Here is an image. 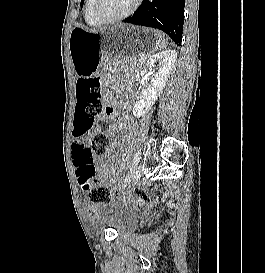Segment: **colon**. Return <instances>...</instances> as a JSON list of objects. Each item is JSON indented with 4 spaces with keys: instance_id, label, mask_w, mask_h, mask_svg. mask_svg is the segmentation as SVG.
I'll use <instances>...</instances> for the list:
<instances>
[{
    "instance_id": "1",
    "label": "colon",
    "mask_w": 265,
    "mask_h": 273,
    "mask_svg": "<svg viewBox=\"0 0 265 273\" xmlns=\"http://www.w3.org/2000/svg\"><path fill=\"white\" fill-rule=\"evenodd\" d=\"M77 105L72 116L74 139H85V134L93 128L84 150L85 159L103 155L109 146V138L105 134L108 127L109 109L103 104L101 83L98 79L81 77L76 86ZM96 171L93 168L82 170L79 176V186L88 194L92 204H107L111 201V188L105 183H95ZM139 197L146 200L148 196L142 192Z\"/></svg>"
}]
</instances>
